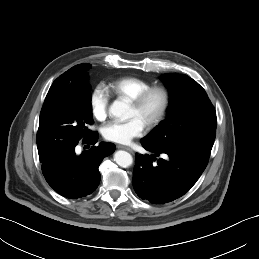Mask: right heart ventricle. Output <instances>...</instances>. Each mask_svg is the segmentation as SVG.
I'll list each match as a JSON object with an SVG mask.
<instances>
[{"instance_id":"1","label":"right heart ventricle","mask_w":259,"mask_h":259,"mask_svg":"<svg viewBox=\"0 0 259 259\" xmlns=\"http://www.w3.org/2000/svg\"><path fill=\"white\" fill-rule=\"evenodd\" d=\"M150 86L151 83L149 81L133 76L115 79L108 85L114 96L128 100L133 99Z\"/></svg>"}]
</instances>
